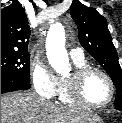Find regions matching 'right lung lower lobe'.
I'll list each match as a JSON object with an SVG mask.
<instances>
[{"label": "right lung lower lobe", "mask_w": 122, "mask_h": 123, "mask_svg": "<svg viewBox=\"0 0 122 123\" xmlns=\"http://www.w3.org/2000/svg\"><path fill=\"white\" fill-rule=\"evenodd\" d=\"M30 87L31 85L29 82L7 75H1V94L16 90L29 89Z\"/></svg>", "instance_id": "1"}]
</instances>
